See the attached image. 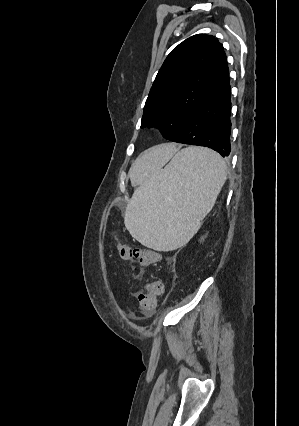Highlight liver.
I'll return each mask as SVG.
<instances>
[{
    "label": "liver",
    "mask_w": 299,
    "mask_h": 426,
    "mask_svg": "<svg viewBox=\"0 0 299 426\" xmlns=\"http://www.w3.org/2000/svg\"><path fill=\"white\" fill-rule=\"evenodd\" d=\"M176 152L172 144H160L144 151L135 160L130 169L132 181L143 180L152 172L163 166Z\"/></svg>",
    "instance_id": "1"
}]
</instances>
